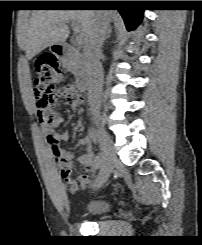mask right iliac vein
<instances>
[{"label":"right iliac vein","instance_id":"1","mask_svg":"<svg viewBox=\"0 0 202 245\" xmlns=\"http://www.w3.org/2000/svg\"><path fill=\"white\" fill-rule=\"evenodd\" d=\"M96 125L98 126V123L96 122ZM98 138L99 142L102 148V152L104 155V161L102 163L101 171L99 173V176L97 178L96 187L99 188L100 186L105 183L110 174L113 171L114 163L117 161V157L115 155L110 137L108 134L101 129H98Z\"/></svg>","mask_w":202,"mask_h":245}]
</instances>
